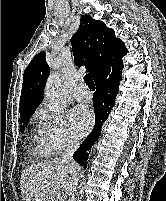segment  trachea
Instances as JSON below:
<instances>
[{"mask_svg":"<svg viewBox=\"0 0 166 201\" xmlns=\"http://www.w3.org/2000/svg\"><path fill=\"white\" fill-rule=\"evenodd\" d=\"M84 81L90 89H92V90L95 89V84H94V81H93L92 76L90 74H86L84 76Z\"/></svg>","mask_w":166,"mask_h":201,"instance_id":"trachea-1","label":"trachea"}]
</instances>
